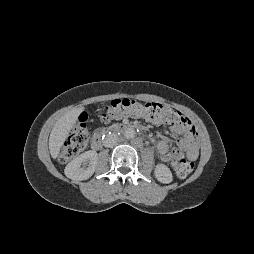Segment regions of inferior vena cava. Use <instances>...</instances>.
Wrapping results in <instances>:
<instances>
[{
	"label": "inferior vena cava",
	"mask_w": 254,
	"mask_h": 254,
	"mask_svg": "<svg viewBox=\"0 0 254 254\" xmlns=\"http://www.w3.org/2000/svg\"><path fill=\"white\" fill-rule=\"evenodd\" d=\"M117 140H118V136L116 134L114 133L108 134L103 140V145L105 147L111 148L115 146V144L117 143Z\"/></svg>",
	"instance_id": "obj_1"
}]
</instances>
